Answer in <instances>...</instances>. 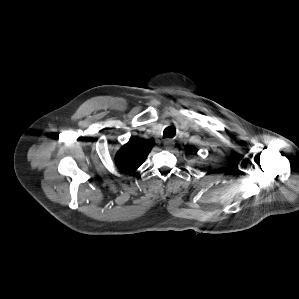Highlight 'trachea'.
<instances>
[{
	"label": "trachea",
	"mask_w": 299,
	"mask_h": 299,
	"mask_svg": "<svg viewBox=\"0 0 299 299\" xmlns=\"http://www.w3.org/2000/svg\"><path fill=\"white\" fill-rule=\"evenodd\" d=\"M176 135V129L174 126H168L163 132V138H173Z\"/></svg>",
	"instance_id": "3493384b"
}]
</instances>
